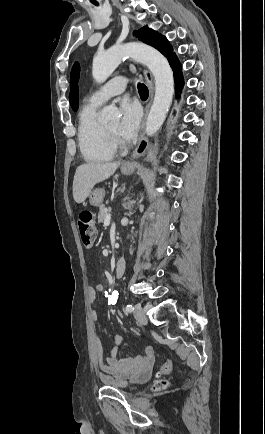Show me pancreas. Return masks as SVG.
<instances>
[{"label":"pancreas","mask_w":265,"mask_h":434,"mask_svg":"<svg viewBox=\"0 0 265 434\" xmlns=\"http://www.w3.org/2000/svg\"><path fill=\"white\" fill-rule=\"evenodd\" d=\"M111 208H105L104 204L99 206V214H98V224H103L104 220H106Z\"/></svg>","instance_id":"cf45deb5"}]
</instances>
